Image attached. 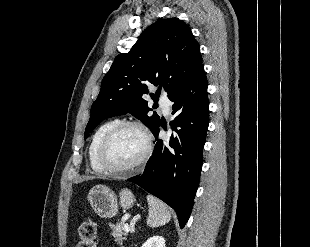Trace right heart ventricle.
<instances>
[{
  "instance_id": "e07e8e85",
  "label": "right heart ventricle",
  "mask_w": 310,
  "mask_h": 247,
  "mask_svg": "<svg viewBox=\"0 0 310 247\" xmlns=\"http://www.w3.org/2000/svg\"><path fill=\"white\" fill-rule=\"evenodd\" d=\"M119 122L118 119H111L109 121H106L105 123L101 124L97 130L94 132L90 144H89V149H88V158H89V164L91 168L96 172V173H102L104 170L102 167L99 165L97 161V151L98 147L104 138V136L107 134V132L117 123Z\"/></svg>"
}]
</instances>
